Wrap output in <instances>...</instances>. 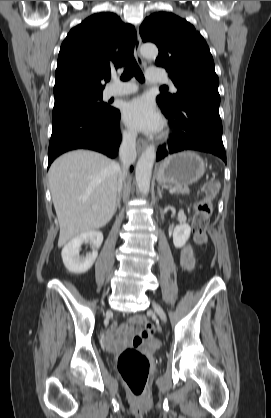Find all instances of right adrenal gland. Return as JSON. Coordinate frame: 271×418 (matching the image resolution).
Segmentation results:
<instances>
[{
	"label": "right adrenal gland",
	"instance_id": "1",
	"mask_svg": "<svg viewBox=\"0 0 271 418\" xmlns=\"http://www.w3.org/2000/svg\"><path fill=\"white\" fill-rule=\"evenodd\" d=\"M117 208L119 209L121 208V195L120 194L117 196L115 211L117 210Z\"/></svg>",
	"mask_w": 271,
	"mask_h": 418
}]
</instances>
